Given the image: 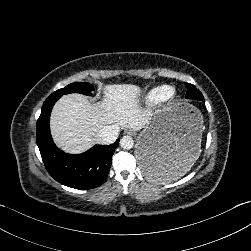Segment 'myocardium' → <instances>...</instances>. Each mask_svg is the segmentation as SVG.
I'll return each mask as SVG.
<instances>
[{
    "instance_id": "1",
    "label": "myocardium",
    "mask_w": 251,
    "mask_h": 251,
    "mask_svg": "<svg viewBox=\"0 0 251 251\" xmlns=\"http://www.w3.org/2000/svg\"><path fill=\"white\" fill-rule=\"evenodd\" d=\"M175 98H176V95H175V94H173V95H172V97L170 98V100H172V101H173V100H175Z\"/></svg>"
}]
</instances>
